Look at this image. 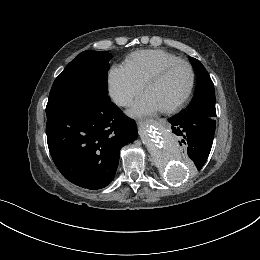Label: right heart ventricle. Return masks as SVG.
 Wrapping results in <instances>:
<instances>
[{
	"instance_id": "e07e8e85",
	"label": "right heart ventricle",
	"mask_w": 260,
	"mask_h": 260,
	"mask_svg": "<svg viewBox=\"0 0 260 260\" xmlns=\"http://www.w3.org/2000/svg\"><path fill=\"white\" fill-rule=\"evenodd\" d=\"M180 60L179 57L162 50H140L126 58L125 68L135 80L144 84L157 69Z\"/></svg>"
}]
</instances>
